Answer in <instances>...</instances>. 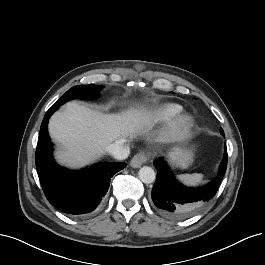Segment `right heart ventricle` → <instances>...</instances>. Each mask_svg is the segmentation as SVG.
<instances>
[{
    "instance_id": "obj_1",
    "label": "right heart ventricle",
    "mask_w": 265,
    "mask_h": 265,
    "mask_svg": "<svg viewBox=\"0 0 265 265\" xmlns=\"http://www.w3.org/2000/svg\"><path fill=\"white\" fill-rule=\"evenodd\" d=\"M182 111V106L175 103H166L154 109H151L147 114L152 123L160 121H168L173 119Z\"/></svg>"
}]
</instances>
